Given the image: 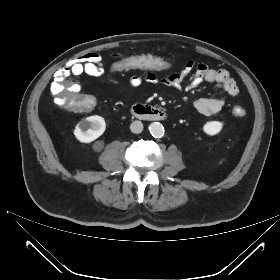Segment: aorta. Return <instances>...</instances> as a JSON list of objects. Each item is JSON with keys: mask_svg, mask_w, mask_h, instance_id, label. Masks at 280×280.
Here are the masks:
<instances>
[{"mask_svg": "<svg viewBox=\"0 0 280 280\" xmlns=\"http://www.w3.org/2000/svg\"><path fill=\"white\" fill-rule=\"evenodd\" d=\"M151 135L155 138H161L164 135V127L159 122H153L149 126Z\"/></svg>", "mask_w": 280, "mask_h": 280, "instance_id": "762f6f07", "label": "aorta"}]
</instances>
